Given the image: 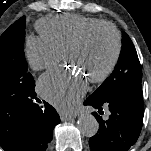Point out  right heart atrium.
I'll list each match as a JSON object with an SVG mask.
<instances>
[{
    "label": "right heart atrium",
    "instance_id": "d8ad5b80",
    "mask_svg": "<svg viewBox=\"0 0 151 151\" xmlns=\"http://www.w3.org/2000/svg\"><path fill=\"white\" fill-rule=\"evenodd\" d=\"M25 56L36 71L48 69L62 59V52L42 36H30L25 43Z\"/></svg>",
    "mask_w": 151,
    "mask_h": 151
}]
</instances>
